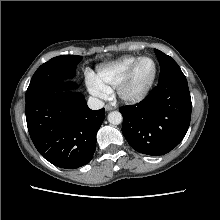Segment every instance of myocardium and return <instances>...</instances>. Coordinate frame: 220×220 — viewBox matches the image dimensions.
<instances>
[{
  "label": "myocardium",
  "mask_w": 220,
  "mask_h": 220,
  "mask_svg": "<svg viewBox=\"0 0 220 220\" xmlns=\"http://www.w3.org/2000/svg\"><path fill=\"white\" fill-rule=\"evenodd\" d=\"M145 59H150L154 64V71L147 84L138 91H130V85L133 80L135 70L139 63ZM158 67L154 58L150 56H141L133 63L123 80L117 85L118 97L127 103H139L143 101L151 91L157 77Z\"/></svg>",
  "instance_id": "myocardium-1"
}]
</instances>
